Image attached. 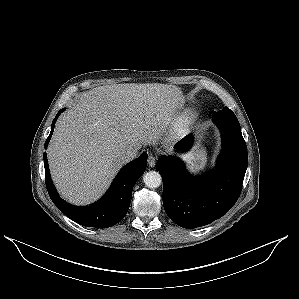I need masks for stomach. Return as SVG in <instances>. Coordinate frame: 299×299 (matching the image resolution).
<instances>
[{
	"label": "stomach",
	"instance_id": "1",
	"mask_svg": "<svg viewBox=\"0 0 299 299\" xmlns=\"http://www.w3.org/2000/svg\"><path fill=\"white\" fill-rule=\"evenodd\" d=\"M189 168L193 172L202 170L207 162L206 153L202 148H195L193 151L184 156Z\"/></svg>",
	"mask_w": 299,
	"mask_h": 299
}]
</instances>
